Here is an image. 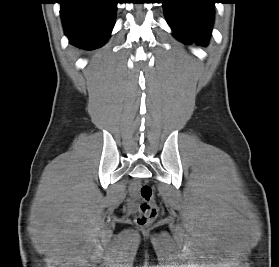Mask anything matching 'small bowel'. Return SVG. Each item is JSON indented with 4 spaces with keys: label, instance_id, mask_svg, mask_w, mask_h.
Instances as JSON below:
<instances>
[{
    "label": "small bowel",
    "instance_id": "obj_1",
    "mask_svg": "<svg viewBox=\"0 0 279 267\" xmlns=\"http://www.w3.org/2000/svg\"><path fill=\"white\" fill-rule=\"evenodd\" d=\"M135 186H133V188H132V193H133V195L135 194Z\"/></svg>",
    "mask_w": 279,
    "mask_h": 267
}]
</instances>
